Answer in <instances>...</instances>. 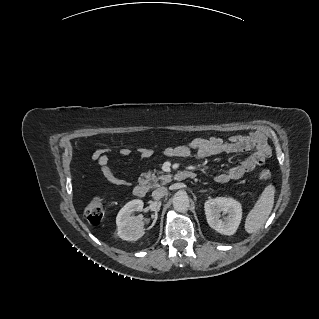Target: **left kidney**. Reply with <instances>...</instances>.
<instances>
[{
    "label": "left kidney",
    "mask_w": 319,
    "mask_h": 319,
    "mask_svg": "<svg viewBox=\"0 0 319 319\" xmlns=\"http://www.w3.org/2000/svg\"><path fill=\"white\" fill-rule=\"evenodd\" d=\"M204 210L209 226L223 235H233L242 219V206L231 197L211 198L205 202Z\"/></svg>",
    "instance_id": "left-kidney-1"
}]
</instances>
